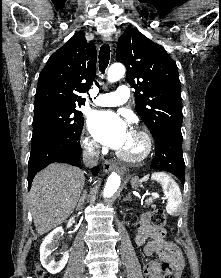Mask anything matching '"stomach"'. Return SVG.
<instances>
[{
  "mask_svg": "<svg viewBox=\"0 0 221 278\" xmlns=\"http://www.w3.org/2000/svg\"><path fill=\"white\" fill-rule=\"evenodd\" d=\"M131 185L133 188H137L139 186V181L137 180V178H133L131 180Z\"/></svg>",
  "mask_w": 221,
  "mask_h": 278,
  "instance_id": "0dacf381",
  "label": "stomach"
}]
</instances>
